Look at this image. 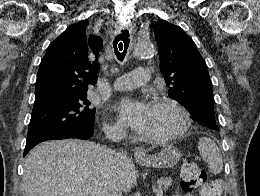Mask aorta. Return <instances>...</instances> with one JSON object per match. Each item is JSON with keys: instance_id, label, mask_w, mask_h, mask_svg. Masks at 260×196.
I'll list each match as a JSON object with an SVG mask.
<instances>
[{"instance_id": "obj_1", "label": "aorta", "mask_w": 260, "mask_h": 196, "mask_svg": "<svg viewBox=\"0 0 260 196\" xmlns=\"http://www.w3.org/2000/svg\"><path fill=\"white\" fill-rule=\"evenodd\" d=\"M134 56L142 57H151L155 54V48L151 43L148 42H139L134 48Z\"/></svg>"}]
</instances>
